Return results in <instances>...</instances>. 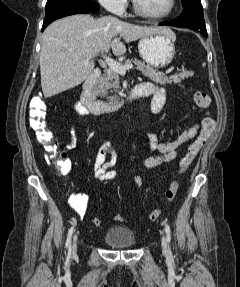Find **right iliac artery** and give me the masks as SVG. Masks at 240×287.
<instances>
[{"mask_svg": "<svg viewBox=\"0 0 240 287\" xmlns=\"http://www.w3.org/2000/svg\"><path fill=\"white\" fill-rule=\"evenodd\" d=\"M74 232V227L72 226L67 234V240H66V248L68 249V255L71 254V238H72V234Z\"/></svg>", "mask_w": 240, "mask_h": 287, "instance_id": "obj_1", "label": "right iliac artery"}]
</instances>
